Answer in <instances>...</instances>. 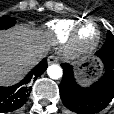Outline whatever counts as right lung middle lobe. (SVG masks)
<instances>
[{
    "instance_id": "dd1d6c3e",
    "label": "right lung middle lobe",
    "mask_w": 114,
    "mask_h": 114,
    "mask_svg": "<svg viewBox=\"0 0 114 114\" xmlns=\"http://www.w3.org/2000/svg\"><path fill=\"white\" fill-rule=\"evenodd\" d=\"M14 19L9 16L0 17V29H7L14 25Z\"/></svg>"
}]
</instances>
